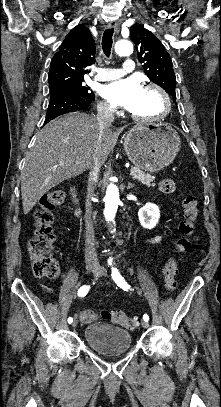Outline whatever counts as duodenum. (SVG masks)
<instances>
[{
    "instance_id": "1",
    "label": "duodenum",
    "mask_w": 221,
    "mask_h": 407,
    "mask_svg": "<svg viewBox=\"0 0 221 407\" xmlns=\"http://www.w3.org/2000/svg\"><path fill=\"white\" fill-rule=\"evenodd\" d=\"M72 200L75 206V214L77 216H80V214L82 213V209L80 206V201L78 198V194H77V190L75 188L72 189Z\"/></svg>"
}]
</instances>
